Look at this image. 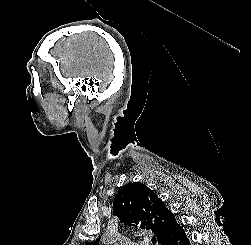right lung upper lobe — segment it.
Listing matches in <instances>:
<instances>
[{
    "mask_svg": "<svg viewBox=\"0 0 251 245\" xmlns=\"http://www.w3.org/2000/svg\"><path fill=\"white\" fill-rule=\"evenodd\" d=\"M113 214L125 225L152 230L160 245L182 228L162 200L140 182H130L117 193ZM99 239L86 245H99Z\"/></svg>",
    "mask_w": 251,
    "mask_h": 245,
    "instance_id": "right-lung-upper-lobe-1",
    "label": "right lung upper lobe"
}]
</instances>
